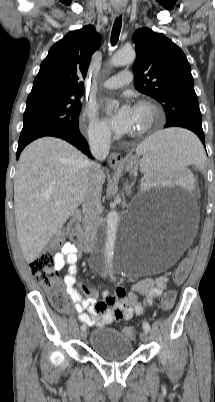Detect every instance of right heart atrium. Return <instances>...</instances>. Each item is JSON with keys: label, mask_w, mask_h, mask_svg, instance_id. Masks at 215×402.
Instances as JSON below:
<instances>
[{"label": "right heart atrium", "mask_w": 215, "mask_h": 402, "mask_svg": "<svg viewBox=\"0 0 215 402\" xmlns=\"http://www.w3.org/2000/svg\"><path fill=\"white\" fill-rule=\"evenodd\" d=\"M81 120L85 125L86 134L91 142L96 144H106L110 141V129L97 117L92 109H85L82 113Z\"/></svg>", "instance_id": "d8ad5b80"}]
</instances>
